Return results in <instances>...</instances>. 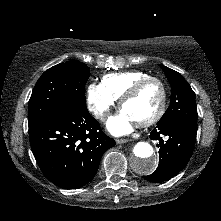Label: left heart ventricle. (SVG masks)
<instances>
[{
  "instance_id": "b2bd125f",
  "label": "left heart ventricle",
  "mask_w": 221,
  "mask_h": 221,
  "mask_svg": "<svg viewBox=\"0 0 221 221\" xmlns=\"http://www.w3.org/2000/svg\"><path fill=\"white\" fill-rule=\"evenodd\" d=\"M161 102V88L158 83L150 82L123 107L127 115L135 122L144 121L153 116Z\"/></svg>"
}]
</instances>
